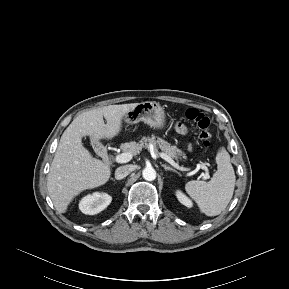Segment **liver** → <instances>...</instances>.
Wrapping results in <instances>:
<instances>
[{"label": "liver", "instance_id": "liver-1", "mask_svg": "<svg viewBox=\"0 0 289 289\" xmlns=\"http://www.w3.org/2000/svg\"><path fill=\"white\" fill-rule=\"evenodd\" d=\"M137 104L109 105L83 112L64 131L47 177L48 193L58 212L65 213L75 196L105 184L111 176L110 167L91 155L82 138L89 136L99 141L119 135L123 117Z\"/></svg>", "mask_w": 289, "mask_h": 289}]
</instances>
